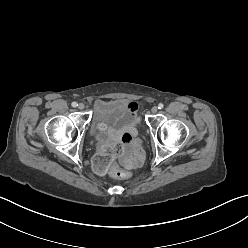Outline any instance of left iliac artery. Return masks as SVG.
<instances>
[{"label": "left iliac artery", "mask_w": 248, "mask_h": 248, "mask_svg": "<svg viewBox=\"0 0 248 248\" xmlns=\"http://www.w3.org/2000/svg\"><path fill=\"white\" fill-rule=\"evenodd\" d=\"M164 107V105L162 104V103H160L159 105H158V109H162Z\"/></svg>", "instance_id": "obj_1"}]
</instances>
